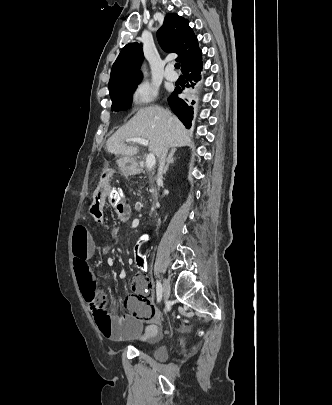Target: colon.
Returning a JSON list of instances; mask_svg holds the SVG:
<instances>
[{
    "label": "colon",
    "instance_id": "obj_1",
    "mask_svg": "<svg viewBox=\"0 0 332 405\" xmlns=\"http://www.w3.org/2000/svg\"><path fill=\"white\" fill-rule=\"evenodd\" d=\"M109 187H110L109 188L110 197H109V199H107L108 206L110 208H112L113 212H122L123 208H124V203H127V201H128L127 194H124L123 184H112V186H109ZM139 243L141 245H146L148 243V238L146 236H141L139 238ZM133 269L139 270V272L142 274L145 273L147 270L145 258H134ZM82 295H83V292H82ZM98 296H99L98 301H104L105 304H107L106 298L102 294L98 293ZM104 311H108L107 305H106Z\"/></svg>",
    "mask_w": 332,
    "mask_h": 405
}]
</instances>
